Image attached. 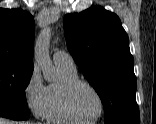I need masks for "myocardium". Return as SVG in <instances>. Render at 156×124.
I'll return each instance as SVG.
<instances>
[{
    "instance_id": "1",
    "label": "myocardium",
    "mask_w": 156,
    "mask_h": 124,
    "mask_svg": "<svg viewBox=\"0 0 156 124\" xmlns=\"http://www.w3.org/2000/svg\"><path fill=\"white\" fill-rule=\"evenodd\" d=\"M80 86H86L90 88L97 95L100 101V112L95 118L91 120H86L80 117V115L76 112L73 106V94L75 90ZM63 102H64V107L67 113L69 114V116L77 123H82V124H91L99 121L104 115L105 108H106L105 99L101 94V92L99 91V89L96 86H94L92 83L83 79H76L64 85Z\"/></svg>"
}]
</instances>
